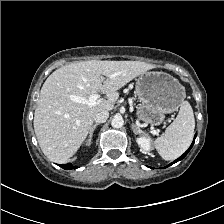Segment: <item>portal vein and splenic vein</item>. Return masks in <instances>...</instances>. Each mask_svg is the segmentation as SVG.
<instances>
[{
  "label": "portal vein and splenic vein",
  "mask_w": 224,
  "mask_h": 224,
  "mask_svg": "<svg viewBox=\"0 0 224 224\" xmlns=\"http://www.w3.org/2000/svg\"><path fill=\"white\" fill-rule=\"evenodd\" d=\"M70 99L74 102L85 103L88 104L89 106H95L101 100V96L99 94H92L88 97V99H85L83 97L74 95L70 96Z\"/></svg>",
  "instance_id": "1"
}]
</instances>
